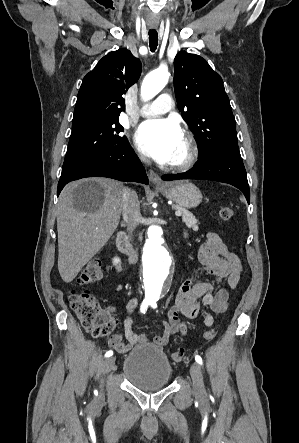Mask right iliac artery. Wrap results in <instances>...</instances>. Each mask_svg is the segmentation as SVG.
<instances>
[{
  "mask_svg": "<svg viewBox=\"0 0 299 443\" xmlns=\"http://www.w3.org/2000/svg\"><path fill=\"white\" fill-rule=\"evenodd\" d=\"M149 305H150V300H143L140 306L141 313H145ZM112 355H113L112 350H109L105 353V357H110Z\"/></svg>",
  "mask_w": 299,
  "mask_h": 443,
  "instance_id": "obj_1",
  "label": "right iliac artery"
}]
</instances>
